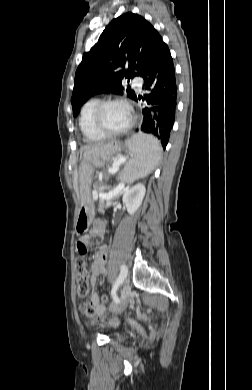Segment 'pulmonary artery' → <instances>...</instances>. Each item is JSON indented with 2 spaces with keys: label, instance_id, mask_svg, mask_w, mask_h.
Returning <instances> with one entry per match:
<instances>
[{
  "label": "pulmonary artery",
  "instance_id": "e3ab8cb5",
  "mask_svg": "<svg viewBox=\"0 0 252 390\" xmlns=\"http://www.w3.org/2000/svg\"><path fill=\"white\" fill-rule=\"evenodd\" d=\"M133 84L140 88L141 85H142V80L139 79V78H135L134 81H133Z\"/></svg>",
  "mask_w": 252,
  "mask_h": 390
}]
</instances>
